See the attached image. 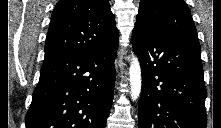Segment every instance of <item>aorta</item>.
<instances>
[{
    "label": "aorta",
    "mask_w": 221,
    "mask_h": 128,
    "mask_svg": "<svg viewBox=\"0 0 221 128\" xmlns=\"http://www.w3.org/2000/svg\"><path fill=\"white\" fill-rule=\"evenodd\" d=\"M130 95L133 101L137 100L142 88L141 67L137 57L133 56L129 68Z\"/></svg>",
    "instance_id": "aorta-1"
}]
</instances>
